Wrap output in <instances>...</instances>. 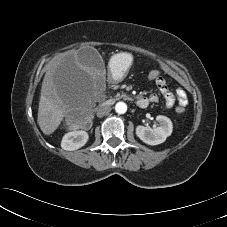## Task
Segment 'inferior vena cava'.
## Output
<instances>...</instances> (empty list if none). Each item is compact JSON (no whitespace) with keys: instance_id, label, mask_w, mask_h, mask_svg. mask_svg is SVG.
<instances>
[{"instance_id":"obj_1","label":"inferior vena cava","mask_w":227,"mask_h":227,"mask_svg":"<svg viewBox=\"0 0 227 227\" xmlns=\"http://www.w3.org/2000/svg\"><path fill=\"white\" fill-rule=\"evenodd\" d=\"M111 111V106L107 105V104H101L98 108H97V117L101 118L107 114H109V112Z\"/></svg>"}]
</instances>
